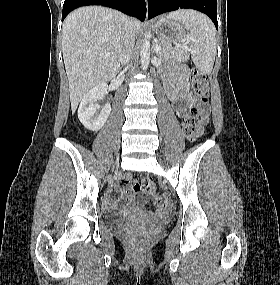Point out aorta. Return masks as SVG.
<instances>
[{"instance_id":"aorta-1","label":"aorta","mask_w":280,"mask_h":285,"mask_svg":"<svg viewBox=\"0 0 280 285\" xmlns=\"http://www.w3.org/2000/svg\"><path fill=\"white\" fill-rule=\"evenodd\" d=\"M140 56H141V67L143 70H146L150 62V41L148 33H145V38L143 41V46Z\"/></svg>"}]
</instances>
